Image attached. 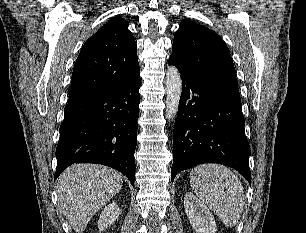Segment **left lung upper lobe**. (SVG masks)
Segmentation results:
<instances>
[{
  "instance_id": "left-lung-upper-lobe-1",
  "label": "left lung upper lobe",
  "mask_w": 306,
  "mask_h": 233,
  "mask_svg": "<svg viewBox=\"0 0 306 233\" xmlns=\"http://www.w3.org/2000/svg\"><path fill=\"white\" fill-rule=\"evenodd\" d=\"M170 59L184 70L238 86L228 47L212 30L183 20L176 31Z\"/></svg>"
}]
</instances>
